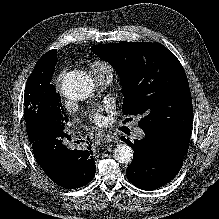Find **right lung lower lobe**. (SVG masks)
Listing matches in <instances>:
<instances>
[{"mask_svg": "<svg viewBox=\"0 0 219 219\" xmlns=\"http://www.w3.org/2000/svg\"><path fill=\"white\" fill-rule=\"evenodd\" d=\"M26 128L35 159L53 182L67 189L91 182L95 175L91 145L83 150L69 149L71 136L50 119H39Z\"/></svg>", "mask_w": 219, "mask_h": 219, "instance_id": "obj_1", "label": "right lung lower lobe"}]
</instances>
